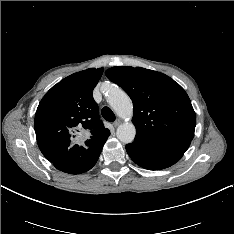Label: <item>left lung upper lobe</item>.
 I'll return each instance as SVG.
<instances>
[{
    "instance_id": "left-lung-upper-lobe-1",
    "label": "left lung upper lobe",
    "mask_w": 234,
    "mask_h": 234,
    "mask_svg": "<svg viewBox=\"0 0 234 234\" xmlns=\"http://www.w3.org/2000/svg\"><path fill=\"white\" fill-rule=\"evenodd\" d=\"M105 74L132 99L135 139H193L196 115L187 93L173 79L130 66L112 67Z\"/></svg>"
}]
</instances>
